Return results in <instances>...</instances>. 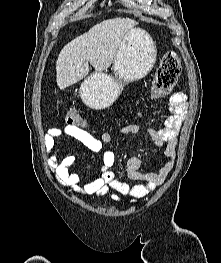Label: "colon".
Returning a JSON list of instances; mask_svg holds the SVG:
<instances>
[{"instance_id": "obj_1", "label": "colon", "mask_w": 221, "mask_h": 263, "mask_svg": "<svg viewBox=\"0 0 221 263\" xmlns=\"http://www.w3.org/2000/svg\"><path fill=\"white\" fill-rule=\"evenodd\" d=\"M181 72V61L176 51L166 52L160 62L151 90V98L159 99L168 95L174 88ZM66 122L70 126L84 124L80 112L70 108L66 114Z\"/></svg>"}]
</instances>
